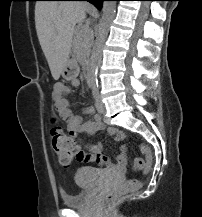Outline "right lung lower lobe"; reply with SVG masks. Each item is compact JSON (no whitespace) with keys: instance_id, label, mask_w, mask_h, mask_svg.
I'll return each instance as SVG.
<instances>
[{"instance_id":"right-lung-lower-lobe-1","label":"right lung lower lobe","mask_w":202,"mask_h":217,"mask_svg":"<svg viewBox=\"0 0 202 217\" xmlns=\"http://www.w3.org/2000/svg\"><path fill=\"white\" fill-rule=\"evenodd\" d=\"M78 1H88V2L92 3L97 9H101L102 2L104 0H78Z\"/></svg>"}]
</instances>
